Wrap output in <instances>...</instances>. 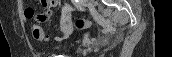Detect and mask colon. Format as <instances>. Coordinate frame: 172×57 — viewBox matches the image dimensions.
I'll list each match as a JSON object with an SVG mask.
<instances>
[{
  "label": "colon",
  "instance_id": "obj_1",
  "mask_svg": "<svg viewBox=\"0 0 172 57\" xmlns=\"http://www.w3.org/2000/svg\"><path fill=\"white\" fill-rule=\"evenodd\" d=\"M25 11L28 15L32 14L31 7H27ZM72 25H74L77 29L81 30V29L89 28L91 26V22L89 20L79 18V19L75 20L72 23ZM33 26H34L35 31L32 36L35 40H38L42 37L43 32L36 24H34ZM68 28H69V25H66V24L61 25V29L63 31H66Z\"/></svg>",
  "mask_w": 172,
  "mask_h": 57
}]
</instances>
